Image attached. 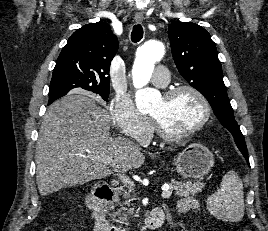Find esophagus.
<instances>
[{"instance_id":"obj_1","label":"esophagus","mask_w":268,"mask_h":231,"mask_svg":"<svg viewBox=\"0 0 268 231\" xmlns=\"http://www.w3.org/2000/svg\"><path fill=\"white\" fill-rule=\"evenodd\" d=\"M143 20H144V16H143V14H136V15H135V21H136L137 23H142Z\"/></svg>"}]
</instances>
